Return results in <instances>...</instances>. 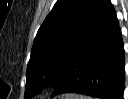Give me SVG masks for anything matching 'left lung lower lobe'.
<instances>
[{
    "mask_svg": "<svg viewBox=\"0 0 128 99\" xmlns=\"http://www.w3.org/2000/svg\"><path fill=\"white\" fill-rule=\"evenodd\" d=\"M124 44L113 5H108L85 44L63 69L51 97L78 93L101 99H123Z\"/></svg>",
    "mask_w": 128,
    "mask_h": 99,
    "instance_id": "1",
    "label": "left lung lower lobe"
}]
</instances>
